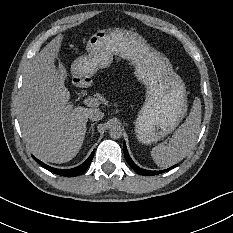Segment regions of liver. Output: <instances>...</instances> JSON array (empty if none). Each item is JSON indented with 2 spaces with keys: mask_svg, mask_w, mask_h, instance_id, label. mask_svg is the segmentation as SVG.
<instances>
[{
  "mask_svg": "<svg viewBox=\"0 0 233 233\" xmlns=\"http://www.w3.org/2000/svg\"><path fill=\"white\" fill-rule=\"evenodd\" d=\"M62 39V34L57 35L34 57L26 69L17 104L30 151L38 159L52 163L68 162L78 154L88 116L94 111L69 105L66 69L62 64L56 69L54 64Z\"/></svg>",
  "mask_w": 233,
  "mask_h": 233,
  "instance_id": "6515ba94",
  "label": "liver"
}]
</instances>
